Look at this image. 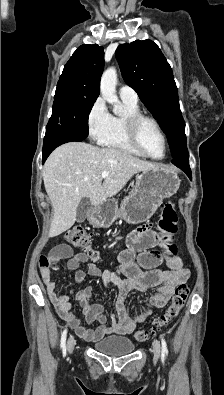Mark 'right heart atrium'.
<instances>
[{
  "instance_id": "right-heart-atrium-1",
  "label": "right heart atrium",
  "mask_w": 224,
  "mask_h": 395,
  "mask_svg": "<svg viewBox=\"0 0 224 395\" xmlns=\"http://www.w3.org/2000/svg\"><path fill=\"white\" fill-rule=\"evenodd\" d=\"M109 119L110 114L106 104L103 98L98 97L90 106L86 119L88 132L92 139H100L108 127Z\"/></svg>"
}]
</instances>
